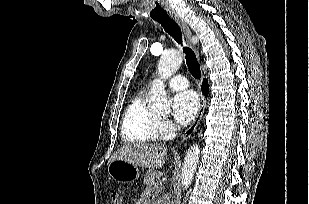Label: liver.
Returning <instances> with one entry per match:
<instances>
[{
    "mask_svg": "<svg viewBox=\"0 0 309 204\" xmlns=\"http://www.w3.org/2000/svg\"><path fill=\"white\" fill-rule=\"evenodd\" d=\"M167 146L163 144H128L119 148L111 157L145 168H160L166 161Z\"/></svg>",
    "mask_w": 309,
    "mask_h": 204,
    "instance_id": "6515ba94",
    "label": "liver"
}]
</instances>
